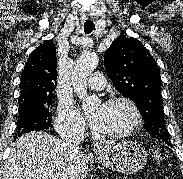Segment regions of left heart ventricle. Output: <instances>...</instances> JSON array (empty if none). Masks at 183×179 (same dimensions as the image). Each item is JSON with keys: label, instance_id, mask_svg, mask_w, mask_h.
Listing matches in <instances>:
<instances>
[{"label": "left heart ventricle", "instance_id": "1", "mask_svg": "<svg viewBox=\"0 0 183 179\" xmlns=\"http://www.w3.org/2000/svg\"><path fill=\"white\" fill-rule=\"evenodd\" d=\"M102 111V132H119L129 128L134 121L130 107L124 103L103 105L97 109Z\"/></svg>", "mask_w": 183, "mask_h": 179}]
</instances>
